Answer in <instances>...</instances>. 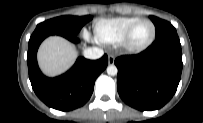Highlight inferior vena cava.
<instances>
[{
  "label": "inferior vena cava",
  "instance_id": "inferior-vena-cava-1",
  "mask_svg": "<svg viewBox=\"0 0 203 123\" xmlns=\"http://www.w3.org/2000/svg\"><path fill=\"white\" fill-rule=\"evenodd\" d=\"M104 51L101 48L93 47V48H86L83 51V55L87 59H99L103 56Z\"/></svg>",
  "mask_w": 203,
  "mask_h": 123
}]
</instances>
